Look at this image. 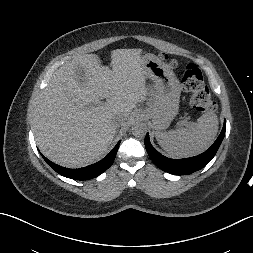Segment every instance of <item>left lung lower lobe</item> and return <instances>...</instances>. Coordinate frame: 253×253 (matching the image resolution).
Returning <instances> with one entry per match:
<instances>
[{
  "label": "left lung lower lobe",
  "instance_id": "obj_1",
  "mask_svg": "<svg viewBox=\"0 0 253 253\" xmlns=\"http://www.w3.org/2000/svg\"><path fill=\"white\" fill-rule=\"evenodd\" d=\"M225 131L226 121H224L220 135L207 151L198 156L185 159H170L160 154L150 144L148 133L145 137L144 142L150 158L157 167L171 174L188 175L202 169L212 160L225 136Z\"/></svg>",
  "mask_w": 253,
  "mask_h": 253
}]
</instances>
